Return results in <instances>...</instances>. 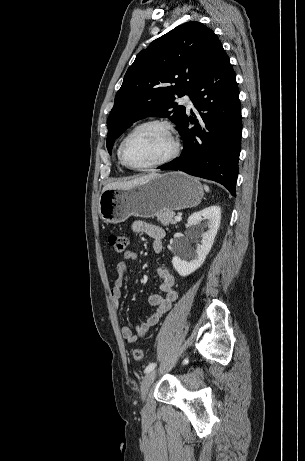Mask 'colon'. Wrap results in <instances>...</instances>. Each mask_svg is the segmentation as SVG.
<instances>
[{
  "label": "colon",
  "mask_w": 305,
  "mask_h": 461,
  "mask_svg": "<svg viewBox=\"0 0 305 461\" xmlns=\"http://www.w3.org/2000/svg\"><path fill=\"white\" fill-rule=\"evenodd\" d=\"M108 242L113 250L118 254L123 253L127 247V237L124 234L110 233L108 236ZM132 355L136 361L144 359L143 350L140 348H134Z\"/></svg>",
  "instance_id": "colon-1"
}]
</instances>
